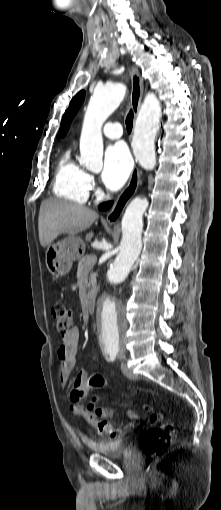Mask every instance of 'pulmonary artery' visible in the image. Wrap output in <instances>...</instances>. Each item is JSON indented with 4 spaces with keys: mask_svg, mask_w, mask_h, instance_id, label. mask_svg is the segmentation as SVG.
<instances>
[{
    "mask_svg": "<svg viewBox=\"0 0 221 510\" xmlns=\"http://www.w3.org/2000/svg\"><path fill=\"white\" fill-rule=\"evenodd\" d=\"M122 133V128L118 123H107L103 128L104 136L112 140L119 139Z\"/></svg>",
    "mask_w": 221,
    "mask_h": 510,
    "instance_id": "e3ab8cb5",
    "label": "pulmonary artery"
}]
</instances>
